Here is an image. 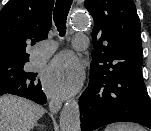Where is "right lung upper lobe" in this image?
I'll list each match as a JSON object with an SVG mask.
<instances>
[{"instance_id": "obj_1", "label": "right lung upper lobe", "mask_w": 151, "mask_h": 131, "mask_svg": "<svg viewBox=\"0 0 151 131\" xmlns=\"http://www.w3.org/2000/svg\"><path fill=\"white\" fill-rule=\"evenodd\" d=\"M53 0H9L0 12V63L29 61L26 47L47 39Z\"/></svg>"}]
</instances>
